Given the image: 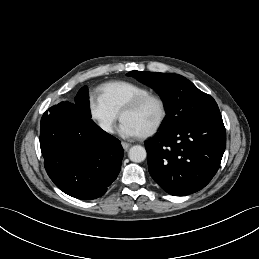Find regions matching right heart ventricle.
Wrapping results in <instances>:
<instances>
[{
    "mask_svg": "<svg viewBox=\"0 0 259 259\" xmlns=\"http://www.w3.org/2000/svg\"><path fill=\"white\" fill-rule=\"evenodd\" d=\"M101 97L118 114L132 99L149 94L143 86L128 81H111L100 87Z\"/></svg>",
    "mask_w": 259,
    "mask_h": 259,
    "instance_id": "1",
    "label": "right heart ventricle"
}]
</instances>
